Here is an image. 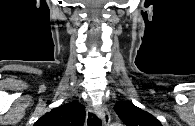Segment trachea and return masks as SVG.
<instances>
[{
	"label": "trachea",
	"instance_id": "trachea-1",
	"mask_svg": "<svg viewBox=\"0 0 195 126\" xmlns=\"http://www.w3.org/2000/svg\"><path fill=\"white\" fill-rule=\"evenodd\" d=\"M88 126H102L101 120L92 113L88 114Z\"/></svg>",
	"mask_w": 195,
	"mask_h": 126
}]
</instances>
